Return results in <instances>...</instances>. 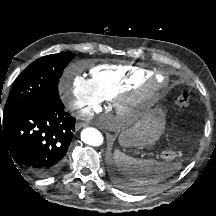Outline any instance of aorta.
Returning a JSON list of instances; mask_svg holds the SVG:
<instances>
[{
  "mask_svg": "<svg viewBox=\"0 0 216 216\" xmlns=\"http://www.w3.org/2000/svg\"><path fill=\"white\" fill-rule=\"evenodd\" d=\"M81 140L87 145L101 146L104 138L97 129L88 127L81 132Z\"/></svg>",
  "mask_w": 216,
  "mask_h": 216,
  "instance_id": "obj_1",
  "label": "aorta"
}]
</instances>
